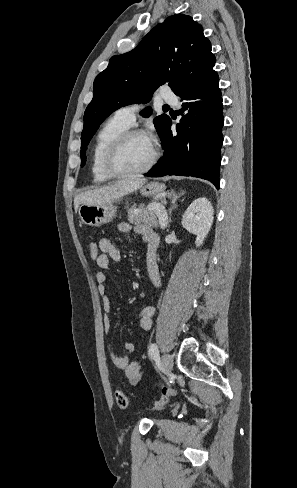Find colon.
Listing matches in <instances>:
<instances>
[{
  "instance_id": "1",
  "label": "colon",
  "mask_w": 297,
  "mask_h": 488,
  "mask_svg": "<svg viewBox=\"0 0 297 488\" xmlns=\"http://www.w3.org/2000/svg\"><path fill=\"white\" fill-rule=\"evenodd\" d=\"M89 253H90L91 259L96 261L99 254H100V250H99L97 243H95V242L89 243ZM175 394H176L175 389H173L171 387L163 388L162 396L153 405V410H160L161 408H163V406L168 402L169 398ZM115 400H116V404L120 410H125L128 407V403H129L128 397L123 391L117 390L115 392Z\"/></svg>"
}]
</instances>
